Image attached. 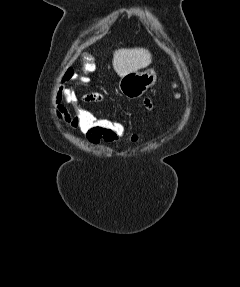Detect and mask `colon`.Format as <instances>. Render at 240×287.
Segmentation results:
<instances>
[{"instance_id": "obj_1", "label": "colon", "mask_w": 240, "mask_h": 287, "mask_svg": "<svg viewBox=\"0 0 240 287\" xmlns=\"http://www.w3.org/2000/svg\"><path fill=\"white\" fill-rule=\"evenodd\" d=\"M94 69V63L87 58L84 60V68L81 73H74L71 68L64 73L57 91L65 105L69 119L85 135H97L117 140L126 138L131 143H137L139 136L129 133L123 123L103 118L85 108V95L79 92V87L89 83L88 74Z\"/></svg>"}]
</instances>
